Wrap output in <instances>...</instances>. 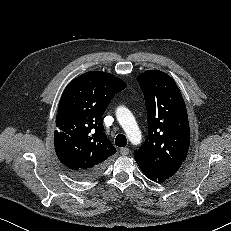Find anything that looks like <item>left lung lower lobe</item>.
<instances>
[{
	"instance_id": "obj_1",
	"label": "left lung lower lobe",
	"mask_w": 231,
	"mask_h": 231,
	"mask_svg": "<svg viewBox=\"0 0 231 231\" xmlns=\"http://www.w3.org/2000/svg\"><path fill=\"white\" fill-rule=\"evenodd\" d=\"M137 164L139 165L140 169L142 170V172L145 174L146 177H148L150 180L154 181V182H163L166 179H168L169 175H164L162 173L156 172L154 170H152L150 167H148L147 165L143 164L140 161H137Z\"/></svg>"
}]
</instances>
